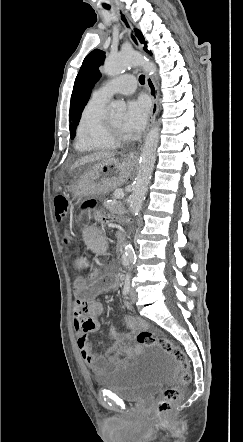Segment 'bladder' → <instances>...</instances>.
<instances>
[{
    "label": "bladder",
    "mask_w": 243,
    "mask_h": 442,
    "mask_svg": "<svg viewBox=\"0 0 243 442\" xmlns=\"http://www.w3.org/2000/svg\"><path fill=\"white\" fill-rule=\"evenodd\" d=\"M169 356L154 352L130 366L105 373L97 383L123 400H145L175 378L178 363Z\"/></svg>",
    "instance_id": "obj_1"
}]
</instances>
